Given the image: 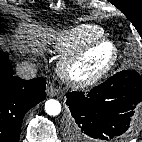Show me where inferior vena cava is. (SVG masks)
Instances as JSON below:
<instances>
[{"label":"inferior vena cava","instance_id":"602c4592","mask_svg":"<svg viewBox=\"0 0 142 142\" xmlns=\"http://www.w3.org/2000/svg\"><path fill=\"white\" fill-rule=\"evenodd\" d=\"M16 72L20 78L30 80L36 77L37 68L34 63L24 61L17 66Z\"/></svg>","mask_w":142,"mask_h":142}]
</instances>
